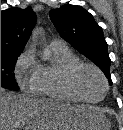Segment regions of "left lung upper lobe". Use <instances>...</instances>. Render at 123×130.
<instances>
[{
	"label": "left lung upper lobe",
	"instance_id": "5c2ea615",
	"mask_svg": "<svg viewBox=\"0 0 123 130\" xmlns=\"http://www.w3.org/2000/svg\"><path fill=\"white\" fill-rule=\"evenodd\" d=\"M50 18L60 35L94 62L108 78L110 77L111 60L102 28L93 16L84 8L76 5H64L52 9Z\"/></svg>",
	"mask_w": 123,
	"mask_h": 130
}]
</instances>
